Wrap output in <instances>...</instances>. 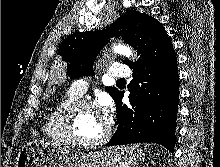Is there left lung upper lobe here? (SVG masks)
I'll list each match as a JSON object with an SVG mask.
<instances>
[{"label":"left lung upper lobe","instance_id":"1","mask_svg":"<svg viewBox=\"0 0 220 167\" xmlns=\"http://www.w3.org/2000/svg\"><path fill=\"white\" fill-rule=\"evenodd\" d=\"M122 36L126 43L134 47L140 58L137 63L125 60L130 67L155 60L173 49L165 29L152 16L136 10H128L112 25L102 31L76 32L61 44L58 54L67 62V75L71 79L93 74V63L107 39ZM112 98L121 92L115 87H106Z\"/></svg>","mask_w":220,"mask_h":167}]
</instances>
